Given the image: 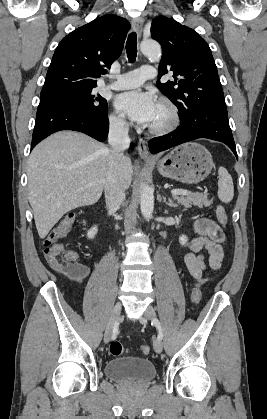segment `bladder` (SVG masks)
<instances>
[{
	"label": "bladder",
	"mask_w": 267,
	"mask_h": 419,
	"mask_svg": "<svg viewBox=\"0 0 267 419\" xmlns=\"http://www.w3.org/2000/svg\"><path fill=\"white\" fill-rule=\"evenodd\" d=\"M105 375L119 382L146 383L156 376L154 364L142 357H116L106 362Z\"/></svg>",
	"instance_id": "bladder-1"
}]
</instances>
